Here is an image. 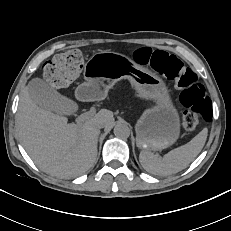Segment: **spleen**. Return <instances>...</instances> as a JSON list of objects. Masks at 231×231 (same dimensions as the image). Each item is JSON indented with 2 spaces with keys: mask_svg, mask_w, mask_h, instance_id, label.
<instances>
[{
  "mask_svg": "<svg viewBox=\"0 0 231 231\" xmlns=\"http://www.w3.org/2000/svg\"><path fill=\"white\" fill-rule=\"evenodd\" d=\"M207 133V128H204L190 142L171 150L163 157L143 150L140 152L139 161L148 173L159 176L175 174L185 169L201 152Z\"/></svg>",
  "mask_w": 231,
  "mask_h": 231,
  "instance_id": "1",
  "label": "spleen"
}]
</instances>
